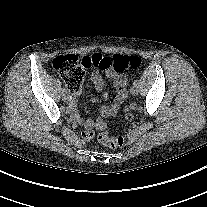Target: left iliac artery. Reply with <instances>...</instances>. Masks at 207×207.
I'll return each instance as SVG.
<instances>
[{
    "label": "left iliac artery",
    "mask_w": 207,
    "mask_h": 207,
    "mask_svg": "<svg viewBox=\"0 0 207 207\" xmlns=\"http://www.w3.org/2000/svg\"><path fill=\"white\" fill-rule=\"evenodd\" d=\"M138 82H139V80L138 79H136V80H134V85H138Z\"/></svg>",
    "instance_id": "left-iliac-artery-1"
}]
</instances>
